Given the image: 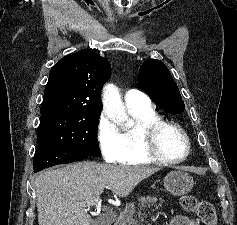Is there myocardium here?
I'll list each match as a JSON object with an SVG mask.
<instances>
[{
	"label": "myocardium",
	"instance_id": "1",
	"mask_svg": "<svg viewBox=\"0 0 237 225\" xmlns=\"http://www.w3.org/2000/svg\"><path fill=\"white\" fill-rule=\"evenodd\" d=\"M176 130L184 139L186 145V152L182 157L179 158H168L160 149V134L165 129ZM140 136L143 144L144 151L154 161L162 164H177L188 158L191 151V142L186 131L178 124L165 120H156L146 126L140 131Z\"/></svg>",
	"mask_w": 237,
	"mask_h": 225
}]
</instances>
